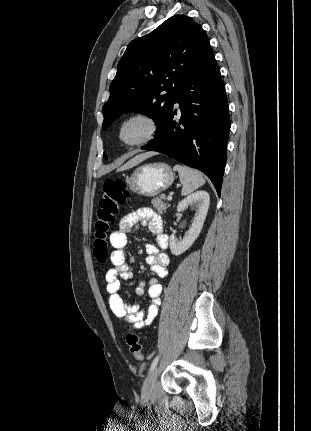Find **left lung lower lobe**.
I'll return each mask as SVG.
<instances>
[{"label":"left lung lower lobe","instance_id":"0a47b994","mask_svg":"<svg viewBox=\"0 0 311 431\" xmlns=\"http://www.w3.org/2000/svg\"><path fill=\"white\" fill-rule=\"evenodd\" d=\"M179 103L180 119L174 104ZM228 102L211 49L181 84L155 140L141 149L157 151L205 173L220 196L230 131Z\"/></svg>","mask_w":311,"mask_h":431}]
</instances>
